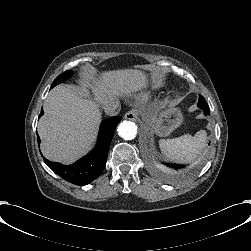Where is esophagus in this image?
<instances>
[{
  "label": "esophagus",
  "mask_w": 251,
  "mask_h": 251,
  "mask_svg": "<svg viewBox=\"0 0 251 251\" xmlns=\"http://www.w3.org/2000/svg\"><path fill=\"white\" fill-rule=\"evenodd\" d=\"M124 118L127 120H132L135 121L138 118V113L135 109L130 110L128 112L125 113Z\"/></svg>",
  "instance_id": "34e87169"
}]
</instances>
